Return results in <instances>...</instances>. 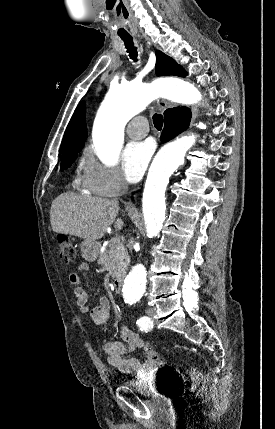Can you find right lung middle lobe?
Masks as SVG:
<instances>
[{"instance_id": "dd1d6c3e", "label": "right lung middle lobe", "mask_w": 275, "mask_h": 429, "mask_svg": "<svg viewBox=\"0 0 275 429\" xmlns=\"http://www.w3.org/2000/svg\"><path fill=\"white\" fill-rule=\"evenodd\" d=\"M77 154H72V155H68V156L61 158L60 170L64 171L67 168H69L72 165V162H74V160L76 159Z\"/></svg>"}]
</instances>
